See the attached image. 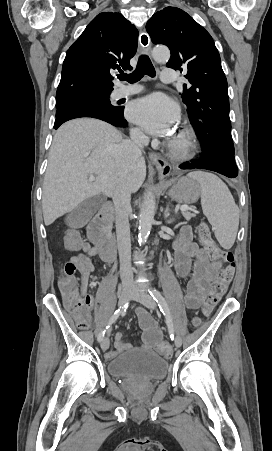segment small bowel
<instances>
[{
	"label": "small bowel",
	"instance_id": "c3829d8e",
	"mask_svg": "<svg viewBox=\"0 0 272 451\" xmlns=\"http://www.w3.org/2000/svg\"><path fill=\"white\" fill-rule=\"evenodd\" d=\"M82 249L76 256H83L91 261V257L97 254V248L91 246L88 242H82ZM94 265V264H93ZM172 265L176 273L183 280H187L185 291V306L190 309H196L199 306L201 297L207 292L208 286L212 281V272L216 271L221 264L218 260L211 258V253L204 247H200L193 241L192 229L188 225L180 228L178 238L174 243V253ZM92 274H82V284L86 286ZM73 316H84L89 318L90 313H76V310H70ZM140 326L144 332L142 347L150 349L156 347L161 341V332L156 323L144 312L139 315ZM131 345L122 333H116L114 336V349L106 353V358L111 360L120 353L129 349Z\"/></svg>",
	"mask_w": 272,
	"mask_h": 451
}]
</instances>
